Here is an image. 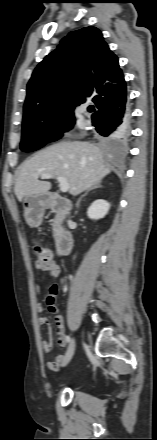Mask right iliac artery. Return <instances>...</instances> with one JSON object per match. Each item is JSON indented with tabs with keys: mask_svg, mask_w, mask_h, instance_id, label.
<instances>
[{
	"mask_svg": "<svg viewBox=\"0 0 157 440\" xmlns=\"http://www.w3.org/2000/svg\"><path fill=\"white\" fill-rule=\"evenodd\" d=\"M66 339H67V342H68V344H69V346H70V344H71V338H70V336H69V335L66 336Z\"/></svg>",
	"mask_w": 157,
	"mask_h": 440,
	"instance_id": "82829eb1",
	"label": "right iliac artery"
}]
</instances>
